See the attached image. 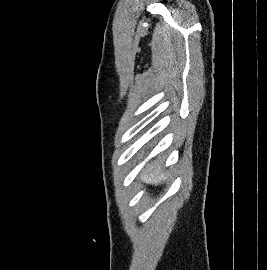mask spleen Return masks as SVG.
<instances>
[{"instance_id": "1", "label": "spleen", "mask_w": 267, "mask_h": 270, "mask_svg": "<svg viewBox=\"0 0 267 270\" xmlns=\"http://www.w3.org/2000/svg\"><path fill=\"white\" fill-rule=\"evenodd\" d=\"M161 167L162 166L157 163L148 164L140 174L141 180L145 181L146 183H152L157 185L164 178V174L161 173Z\"/></svg>"}]
</instances>
